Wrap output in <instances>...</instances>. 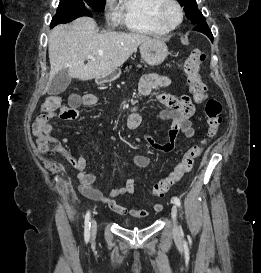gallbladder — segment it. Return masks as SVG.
<instances>
[{
  "label": "gallbladder",
  "instance_id": "gallbladder-1",
  "mask_svg": "<svg viewBox=\"0 0 261 273\" xmlns=\"http://www.w3.org/2000/svg\"><path fill=\"white\" fill-rule=\"evenodd\" d=\"M71 80L72 78L69 76L68 69L60 70L52 79L48 89V94L49 95L61 94L69 86Z\"/></svg>",
  "mask_w": 261,
  "mask_h": 273
}]
</instances>
